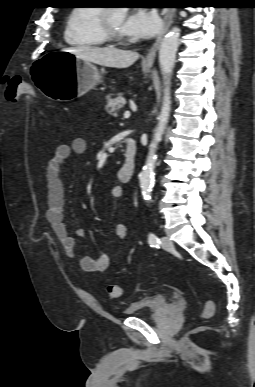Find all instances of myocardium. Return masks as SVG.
<instances>
[{
  "mask_svg": "<svg viewBox=\"0 0 255 387\" xmlns=\"http://www.w3.org/2000/svg\"><path fill=\"white\" fill-rule=\"evenodd\" d=\"M111 9L103 8L99 14V27L100 31L105 38L106 42L119 43L125 40L123 33L118 32L112 26L110 19Z\"/></svg>",
  "mask_w": 255,
  "mask_h": 387,
  "instance_id": "obj_1",
  "label": "myocardium"
}]
</instances>
